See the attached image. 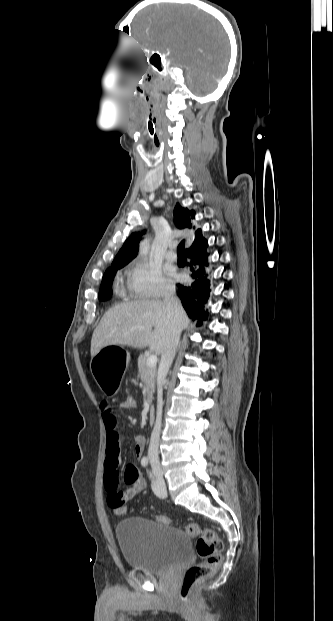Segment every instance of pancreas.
I'll return each mask as SVG.
<instances>
[{"instance_id": "1", "label": "pancreas", "mask_w": 333, "mask_h": 621, "mask_svg": "<svg viewBox=\"0 0 333 621\" xmlns=\"http://www.w3.org/2000/svg\"><path fill=\"white\" fill-rule=\"evenodd\" d=\"M148 356L141 355L138 358V376L146 383L148 400L152 399L155 392L156 366H148Z\"/></svg>"}]
</instances>
